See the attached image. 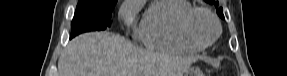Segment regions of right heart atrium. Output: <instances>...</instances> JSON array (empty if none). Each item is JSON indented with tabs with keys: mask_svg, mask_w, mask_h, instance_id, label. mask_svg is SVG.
<instances>
[{
	"mask_svg": "<svg viewBox=\"0 0 287 76\" xmlns=\"http://www.w3.org/2000/svg\"><path fill=\"white\" fill-rule=\"evenodd\" d=\"M139 10L137 1H126L121 8V15L126 20H131Z\"/></svg>",
	"mask_w": 287,
	"mask_h": 76,
	"instance_id": "1",
	"label": "right heart atrium"
}]
</instances>
